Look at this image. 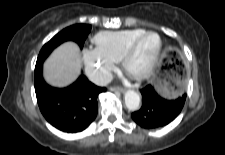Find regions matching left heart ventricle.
<instances>
[{"label":"left heart ventricle","instance_id":"obj_1","mask_svg":"<svg viewBox=\"0 0 225 155\" xmlns=\"http://www.w3.org/2000/svg\"><path fill=\"white\" fill-rule=\"evenodd\" d=\"M158 46V38L154 35L146 37L139 45L134 57L130 62V70L132 72H139L143 70L152 56L154 55Z\"/></svg>","mask_w":225,"mask_h":155}]
</instances>
